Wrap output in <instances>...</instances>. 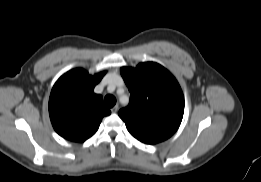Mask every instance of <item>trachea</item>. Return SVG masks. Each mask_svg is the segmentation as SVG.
Wrapping results in <instances>:
<instances>
[{
    "instance_id": "trachea-1",
    "label": "trachea",
    "mask_w": 261,
    "mask_h": 182,
    "mask_svg": "<svg viewBox=\"0 0 261 182\" xmlns=\"http://www.w3.org/2000/svg\"><path fill=\"white\" fill-rule=\"evenodd\" d=\"M104 103L107 107L112 108L116 104V98L113 95H107L104 98Z\"/></svg>"
}]
</instances>
